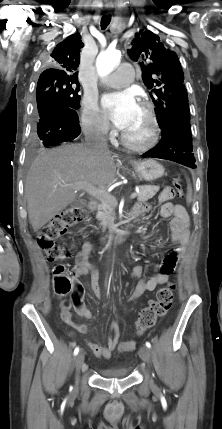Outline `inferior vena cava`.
I'll return each instance as SVG.
<instances>
[{
	"label": "inferior vena cava",
	"instance_id": "1",
	"mask_svg": "<svg viewBox=\"0 0 222 429\" xmlns=\"http://www.w3.org/2000/svg\"><path fill=\"white\" fill-rule=\"evenodd\" d=\"M109 126L107 123H100L94 130L85 132L86 146L92 150H107V138Z\"/></svg>",
	"mask_w": 222,
	"mask_h": 429
}]
</instances>
